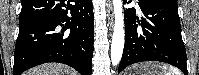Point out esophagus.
Segmentation results:
<instances>
[{
    "instance_id": "34e87169",
    "label": "esophagus",
    "mask_w": 199,
    "mask_h": 75,
    "mask_svg": "<svg viewBox=\"0 0 199 75\" xmlns=\"http://www.w3.org/2000/svg\"><path fill=\"white\" fill-rule=\"evenodd\" d=\"M107 10H108V24L110 28L113 27V21H114V14H113V8L111 0L107 1Z\"/></svg>"
}]
</instances>
